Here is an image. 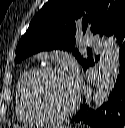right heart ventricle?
I'll return each instance as SVG.
<instances>
[{
    "instance_id": "e07e8e85",
    "label": "right heart ventricle",
    "mask_w": 125,
    "mask_h": 128,
    "mask_svg": "<svg viewBox=\"0 0 125 128\" xmlns=\"http://www.w3.org/2000/svg\"><path fill=\"white\" fill-rule=\"evenodd\" d=\"M36 69L33 67L25 69L20 75L16 85V106L15 111L18 119L26 124L38 125L43 124L44 121L32 109L27 98L26 87L30 77L35 73Z\"/></svg>"
}]
</instances>
